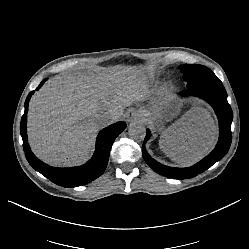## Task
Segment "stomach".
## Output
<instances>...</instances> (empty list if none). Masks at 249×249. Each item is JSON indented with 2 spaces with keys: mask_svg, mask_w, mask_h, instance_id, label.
Listing matches in <instances>:
<instances>
[{
  "mask_svg": "<svg viewBox=\"0 0 249 249\" xmlns=\"http://www.w3.org/2000/svg\"><path fill=\"white\" fill-rule=\"evenodd\" d=\"M185 97L177 94L169 85L158 87L153 97L146 105V116L150 123L157 128H164L172 123Z\"/></svg>",
  "mask_w": 249,
  "mask_h": 249,
  "instance_id": "0dacf381",
  "label": "stomach"
}]
</instances>
